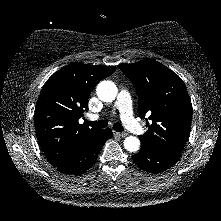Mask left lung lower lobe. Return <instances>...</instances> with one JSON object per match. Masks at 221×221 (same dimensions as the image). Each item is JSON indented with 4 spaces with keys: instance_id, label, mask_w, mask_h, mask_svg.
<instances>
[{
    "instance_id": "1",
    "label": "left lung lower lobe",
    "mask_w": 221,
    "mask_h": 221,
    "mask_svg": "<svg viewBox=\"0 0 221 221\" xmlns=\"http://www.w3.org/2000/svg\"><path fill=\"white\" fill-rule=\"evenodd\" d=\"M140 151L132 156L134 163L142 170L160 173L172 167L181 157V152L152 147L141 141Z\"/></svg>"
}]
</instances>
